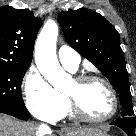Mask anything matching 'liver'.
Returning <instances> with one entry per match:
<instances>
[{
	"mask_svg": "<svg viewBox=\"0 0 136 136\" xmlns=\"http://www.w3.org/2000/svg\"><path fill=\"white\" fill-rule=\"evenodd\" d=\"M98 128H69L61 136H88ZM52 133L50 128L42 129L30 122L18 121L11 116L0 114V136H45Z\"/></svg>",
	"mask_w": 136,
	"mask_h": 136,
	"instance_id": "obj_1",
	"label": "liver"
}]
</instances>
